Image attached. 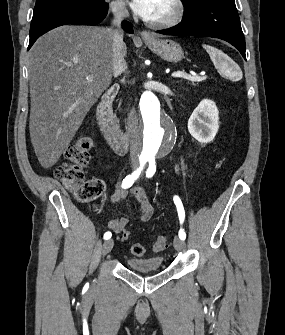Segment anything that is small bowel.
Instances as JSON below:
<instances>
[{
	"label": "small bowel",
	"mask_w": 285,
	"mask_h": 335,
	"mask_svg": "<svg viewBox=\"0 0 285 335\" xmlns=\"http://www.w3.org/2000/svg\"><path fill=\"white\" fill-rule=\"evenodd\" d=\"M129 194L133 196L139 203L138 220L140 222L149 221L153 213L152 206L146 192L141 187H134L130 190V192H128L122 188V184H118L114 194L111 197V204L116 205L122 202L128 197ZM127 222L128 220L125 217H116L109 220L107 225L109 229L118 234L124 229V227L127 225Z\"/></svg>",
	"instance_id": "1"
}]
</instances>
